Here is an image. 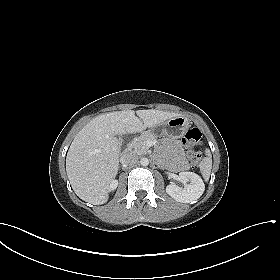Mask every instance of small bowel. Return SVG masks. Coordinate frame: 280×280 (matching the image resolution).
Returning a JSON list of instances; mask_svg holds the SVG:
<instances>
[{
    "instance_id": "obj_1",
    "label": "small bowel",
    "mask_w": 280,
    "mask_h": 280,
    "mask_svg": "<svg viewBox=\"0 0 280 280\" xmlns=\"http://www.w3.org/2000/svg\"><path fill=\"white\" fill-rule=\"evenodd\" d=\"M172 149L175 155H178L182 152V149L178 143H174ZM171 167L174 170L181 171L186 169L187 165L183 160H177L174 163H172Z\"/></svg>"
}]
</instances>
